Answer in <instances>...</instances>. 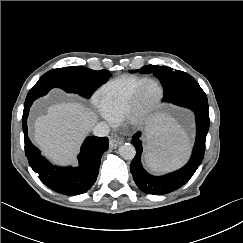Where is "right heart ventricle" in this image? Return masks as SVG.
I'll list each match as a JSON object with an SVG mask.
<instances>
[{
  "label": "right heart ventricle",
  "mask_w": 243,
  "mask_h": 243,
  "mask_svg": "<svg viewBox=\"0 0 243 243\" xmlns=\"http://www.w3.org/2000/svg\"><path fill=\"white\" fill-rule=\"evenodd\" d=\"M146 77L125 74L107 82L96 94L97 107L111 120L123 117L126 105Z\"/></svg>",
  "instance_id": "right-heart-ventricle-1"
}]
</instances>
